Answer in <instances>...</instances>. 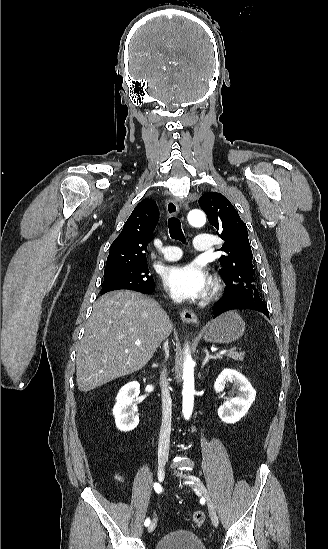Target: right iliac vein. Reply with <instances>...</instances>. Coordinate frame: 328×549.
I'll return each mask as SVG.
<instances>
[{"label": "right iliac vein", "instance_id": "1", "mask_svg": "<svg viewBox=\"0 0 328 549\" xmlns=\"http://www.w3.org/2000/svg\"><path fill=\"white\" fill-rule=\"evenodd\" d=\"M164 478H165V466H164V462L161 461L158 466V479L160 481H163ZM156 525H157V520L153 519L152 523L148 527V532H153L156 528Z\"/></svg>", "mask_w": 328, "mask_h": 549}]
</instances>
